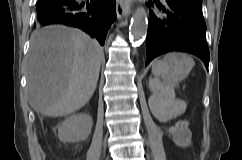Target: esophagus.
I'll return each instance as SVG.
<instances>
[{"label": "esophagus", "mask_w": 242, "mask_h": 160, "mask_svg": "<svg viewBox=\"0 0 242 160\" xmlns=\"http://www.w3.org/2000/svg\"><path fill=\"white\" fill-rule=\"evenodd\" d=\"M116 14L118 19L130 14L128 0H116Z\"/></svg>", "instance_id": "34e87169"}]
</instances>
